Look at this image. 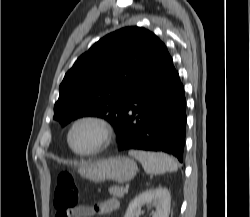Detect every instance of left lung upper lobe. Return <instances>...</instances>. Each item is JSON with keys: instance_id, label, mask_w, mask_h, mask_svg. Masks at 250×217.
<instances>
[{"instance_id": "1", "label": "left lung upper lobe", "mask_w": 250, "mask_h": 217, "mask_svg": "<svg viewBox=\"0 0 250 217\" xmlns=\"http://www.w3.org/2000/svg\"><path fill=\"white\" fill-rule=\"evenodd\" d=\"M162 42L142 27L110 33L66 73L53 119L63 126L83 116L109 121L118 131L137 83L152 67Z\"/></svg>"}]
</instances>
